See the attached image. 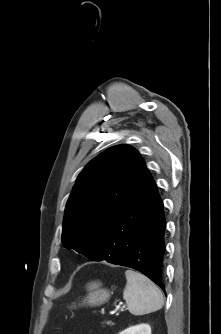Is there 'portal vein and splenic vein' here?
<instances>
[{"mask_svg": "<svg viewBox=\"0 0 221 334\" xmlns=\"http://www.w3.org/2000/svg\"><path fill=\"white\" fill-rule=\"evenodd\" d=\"M123 308H124V307H121V311H123Z\"/></svg>", "mask_w": 221, "mask_h": 334, "instance_id": "obj_1", "label": "portal vein and splenic vein"}]
</instances>
